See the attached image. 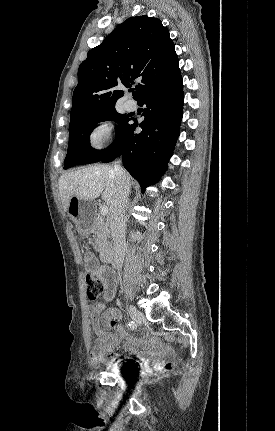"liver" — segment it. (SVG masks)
I'll return each mask as SVG.
<instances>
[{"label":"liver","instance_id":"liver-1","mask_svg":"<svg viewBox=\"0 0 275 431\" xmlns=\"http://www.w3.org/2000/svg\"><path fill=\"white\" fill-rule=\"evenodd\" d=\"M117 189L114 168L110 165H96L74 172L64 173L59 178V193L64 211L71 197L92 201L100 194L110 209Z\"/></svg>","mask_w":275,"mask_h":431}]
</instances>
